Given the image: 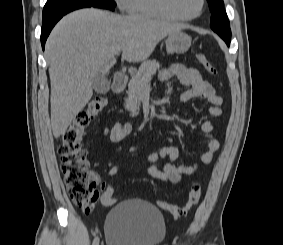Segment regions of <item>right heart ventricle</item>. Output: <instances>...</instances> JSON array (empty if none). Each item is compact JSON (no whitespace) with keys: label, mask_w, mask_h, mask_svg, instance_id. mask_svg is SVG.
Masks as SVG:
<instances>
[{"label":"right heart ventricle","mask_w":283,"mask_h":245,"mask_svg":"<svg viewBox=\"0 0 283 245\" xmlns=\"http://www.w3.org/2000/svg\"><path fill=\"white\" fill-rule=\"evenodd\" d=\"M126 10L132 15L171 19L160 9L158 0H129Z\"/></svg>","instance_id":"right-heart-ventricle-1"}]
</instances>
